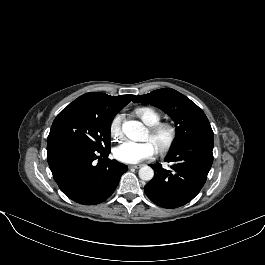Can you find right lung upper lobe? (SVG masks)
I'll use <instances>...</instances> for the list:
<instances>
[{"label":"right lung upper lobe","mask_w":265,"mask_h":265,"mask_svg":"<svg viewBox=\"0 0 265 265\" xmlns=\"http://www.w3.org/2000/svg\"><path fill=\"white\" fill-rule=\"evenodd\" d=\"M134 96L135 95H120L114 97L104 93H86L78 97L66 108L84 109L100 116L114 118Z\"/></svg>","instance_id":"right-lung-upper-lobe-1"}]
</instances>
